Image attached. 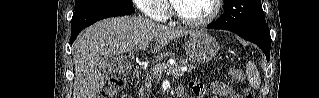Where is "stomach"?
Returning <instances> with one entry per match:
<instances>
[{
  "label": "stomach",
  "instance_id": "1",
  "mask_svg": "<svg viewBox=\"0 0 319 98\" xmlns=\"http://www.w3.org/2000/svg\"><path fill=\"white\" fill-rule=\"evenodd\" d=\"M218 51L216 39L202 31L191 33L185 43V52L189 59L199 63L209 62Z\"/></svg>",
  "mask_w": 319,
  "mask_h": 98
}]
</instances>
